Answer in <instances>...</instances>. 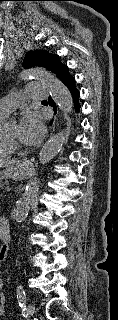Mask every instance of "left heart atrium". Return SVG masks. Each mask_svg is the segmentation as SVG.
Masks as SVG:
<instances>
[{
	"instance_id": "39dd6f15",
	"label": "left heart atrium",
	"mask_w": 118,
	"mask_h": 320,
	"mask_svg": "<svg viewBox=\"0 0 118 320\" xmlns=\"http://www.w3.org/2000/svg\"><path fill=\"white\" fill-rule=\"evenodd\" d=\"M18 129L21 141L27 145L37 144L45 132L42 117L36 111L25 113Z\"/></svg>"
}]
</instances>
